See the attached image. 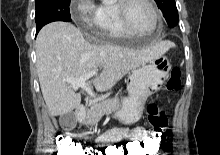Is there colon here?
I'll return each instance as SVG.
<instances>
[{"instance_id": "5ec220e1", "label": "colon", "mask_w": 220, "mask_h": 155, "mask_svg": "<svg viewBox=\"0 0 220 155\" xmlns=\"http://www.w3.org/2000/svg\"><path fill=\"white\" fill-rule=\"evenodd\" d=\"M181 87V72L178 67H173L166 83L169 91H179ZM147 130L150 135H145V139H129L124 142V146H109L106 144L88 145L68 138H59L56 148L59 155H160L162 144H168L166 135L168 133L167 118L163 110L155 103H151L148 108Z\"/></svg>"}]
</instances>
